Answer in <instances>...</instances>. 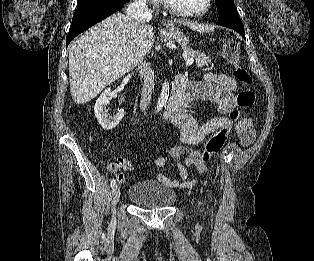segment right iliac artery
<instances>
[{"label": "right iliac artery", "mask_w": 314, "mask_h": 261, "mask_svg": "<svg viewBox=\"0 0 314 261\" xmlns=\"http://www.w3.org/2000/svg\"><path fill=\"white\" fill-rule=\"evenodd\" d=\"M115 184H116V180H115V179H112V180H111V183H110L111 187L115 186Z\"/></svg>", "instance_id": "obj_1"}]
</instances>
